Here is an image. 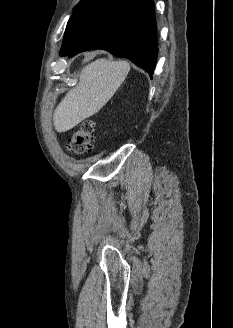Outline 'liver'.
Returning a JSON list of instances; mask_svg holds the SVG:
<instances>
[{
	"label": "liver",
	"instance_id": "obj_1",
	"mask_svg": "<svg viewBox=\"0 0 233 328\" xmlns=\"http://www.w3.org/2000/svg\"><path fill=\"white\" fill-rule=\"evenodd\" d=\"M130 65L126 61L97 59L80 73L79 83L71 89L53 114L57 132H66L96 114L123 83Z\"/></svg>",
	"mask_w": 233,
	"mask_h": 328
}]
</instances>
